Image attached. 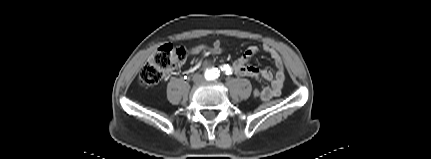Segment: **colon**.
Returning <instances> with one entry per match:
<instances>
[{
    "label": "colon",
    "mask_w": 431,
    "mask_h": 159,
    "mask_svg": "<svg viewBox=\"0 0 431 159\" xmlns=\"http://www.w3.org/2000/svg\"><path fill=\"white\" fill-rule=\"evenodd\" d=\"M206 53L209 56H223L226 50L224 48H212L207 50ZM187 55L188 51L183 46L166 44L159 47L142 67L139 74L140 84L144 86L157 84L170 70L180 66L187 58ZM261 93L260 88L252 89V94L255 96H260Z\"/></svg>",
    "instance_id": "colon-1"
}]
</instances>
